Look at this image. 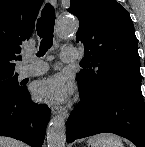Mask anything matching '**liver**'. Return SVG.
I'll list each match as a JSON object with an SVG mask.
<instances>
[{"label":"liver","mask_w":145,"mask_h":147,"mask_svg":"<svg viewBox=\"0 0 145 147\" xmlns=\"http://www.w3.org/2000/svg\"><path fill=\"white\" fill-rule=\"evenodd\" d=\"M0 147H25V145L12 138L0 137Z\"/></svg>","instance_id":"1"}]
</instances>
